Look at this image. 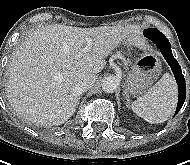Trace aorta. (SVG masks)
<instances>
[{
	"label": "aorta",
	"mask_w": 190,
	"mask_h": 165,
	"mask_svg": "<svg viewBox=\"0 0 190 165\" xmlns=\"http://www.w3.org/2000/svg\"><path fill=\"white\" fill-rule=\"evenodd\" d=\"M102 89L107 93L116 91L119 86V80L115 76H107L102 80Z\"/></svg>",
	"instance_id": "obj_1"
}]
</instances>
